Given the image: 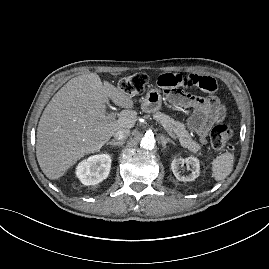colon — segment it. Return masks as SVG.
Returning a JSON list of instances; mask_svg holds the SVG:
<instances>
[{
    "mask_svg": "<svg viewBox=\"0 0 269 269\" xmlns=\"http://www.w3.org/2000/svg\"><path fill=\"white\" fill-rule=\"evenodd\" d=\"M147 82H148V77L145 74H141V73L134 74V75L123 78L119 83V88L125 94L140 95L145 91ZM162 88H165V87H162ZM232 137H233V132L229 126L225 124L217 125L211 130V133H210L211 146L212 148L216 150L231 149Z\"/></svg>",
    "mask_w": 269,
    "mask_h": 269,
    "instance_id": "obj_1",
    "label": "colon"
}]
</instances>
